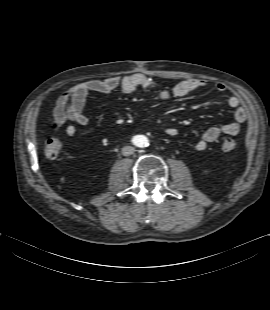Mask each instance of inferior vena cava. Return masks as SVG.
<instances>
[{"mask_svg":"<svg viewBox=\"0 0 270 310\" xmlns=\"http://www.w3.org/2000/svg\"><path fill=\"white\" fill-rule=\"evenodd\" d=\"M134 152H135V148L132 147V146H124V147L122 148V154H123L124 156L132 155Z\"/></svg>","mask_w":270,"mask_h":310,"instance_id":"602c4592","label":"inferior vena cava"}]
</instances>
